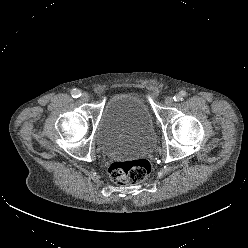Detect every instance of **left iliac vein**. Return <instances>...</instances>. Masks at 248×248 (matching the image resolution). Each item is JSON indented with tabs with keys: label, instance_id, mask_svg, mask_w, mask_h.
I'll return each mask as SVG.
<instances>
[{
	"label": "left iliac vein",
	"instance_id": "left-iliac-vein-1",
	"mask_svg": "<svg viewBox=\"0 0 248 248\" xmlns=\"http://www.w3.org/2000/svg\"><path fill=\"white\" fill-rule=\"evenodd\" d=\"M173 102H174V100H173L172 97H167V98L165 99V105H166V106H171V105L173 104Z\"/></svg>",
	"mask_w": 248,
	"mask_h": 248
}]
</instances>
